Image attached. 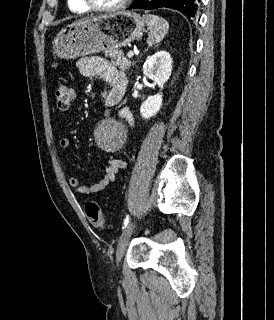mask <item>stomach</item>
<instances>
[{"mask_svg":"<svg viewBox=\"0 0 274 320\" xmlns=\"http://www.w3.org/2000/svg\"><path fill=\"white\" fill-rule=\"evenodd\" d=\"M145 22L136 12H115L69 24L57 34L53 54L64 60L99 54L109 48H123L142 38Z\"/></svg>","mask_w":274,"mask_h":320,"instance_id":"obj_1","label":"stomach"}]
</instances>
